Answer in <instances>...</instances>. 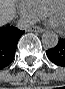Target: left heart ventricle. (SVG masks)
<instances>
[{
    "label": "left heart ventricle",
    "mask_w": 65,
    "mask_h": 89,
    "mask_svg": "<svg viewBox=\"0 0 65 89\" xmlns=\"http://www.w3.org/2000/svg\"><path fill=\"white\" fill-rule=\"evenodd\" d=\"M50 17L57 27L65 29V7L63 5L54 7Z\"/></svg>",
    "instance_id": "obj_1"
}]
</instances>
